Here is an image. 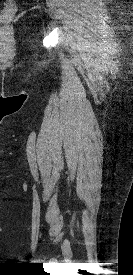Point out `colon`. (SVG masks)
<instances>
[{"label":"colon","mask_w":133,"mask_h":275,"mask_svg":"<svg viewBox=\"0 0 133 275\" xmlns=\"http://www.w3.org/2000/svg\"><path fill=\"white\" fill-rule=\"evenodd\" d=\"M15 13V5L11 0H8L5 8L2 11V16L11 17Z\"/></svg>","instance_id":"5ec220e1"}]
</instances>
